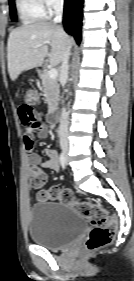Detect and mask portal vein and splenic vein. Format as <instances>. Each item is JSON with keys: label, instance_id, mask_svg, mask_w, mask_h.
<instances>
[{"label": "portal vein and splenic vein", "instance_id": "portal-vein-and-splenic-vein-1", "mask_svg": "<svg viewBox=\"0 0 134 281\" xmlns=\"http://www.w3.org/2000/svg\"><path fill=\"white\" fill-rule=\"evenodd\" d=\"M42 44H38V45H35L33 48H39L41 47ZM48 75L51 79H55L57 76H58V70L55 69V68H51L49 71H48Z\"/></svg>", "mask_w": 134, "mask_h": 281}]
</instances>
